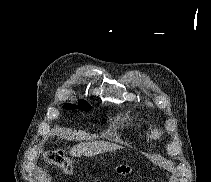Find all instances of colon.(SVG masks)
<instances>
[{
    "label": "colon",
    "instance_id": "colon-1",
    "mask_svg": "<svg viewBox=\"0 0 211 182\" xmlns=\"http://www.w3.org/2000/svg\"><path fill=\"white\" fill-rule=\"evenodd\" d=\"M43 158L48 164H53L61 168L65 173L72 174L74 172L73 162L67 158L61 151H45L43 153ZM130 169L128 168H118L120 173H127Z\"/></svg>",
    "mask_w": 211,
    "mask_h": 182
}]
</instances>
